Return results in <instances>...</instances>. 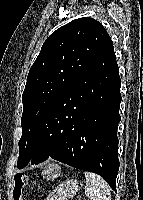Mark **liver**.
<instances>
[{"label":"liver","mask_w":143,"mask_h":200,"mask_svg":"<svg viewBox=\"0 0 143 200\" xmlns=\"http://www.w3.org/2000/svg\"><path fill=\"white\" fill-rule=\"evenodd\" d=\"M44 175H45V177H54L55 175H58V168L55 173H52V170L49 168L48 170L44 171Z\"/></svg>","instance_id":"6515ba94"}]
</instances>
